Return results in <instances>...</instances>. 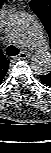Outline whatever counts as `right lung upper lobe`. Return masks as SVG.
Segmentation results:
<instances>
[{
	"label": "right lung upper lobe",
	"mask_w": 51,
	"mask_h": 153,
	"mask_svg": "<svg viewBox=\"0 0 51 153\" xmlns=\"http://www.w3.org/2000/svg\"><path fill=\"white\" fill-rule=\"evenodd\" d=\"M3 3L4 0H0V8L2 7ZM8 66H9V61L0 50V83L8 71Z\"/></svg>",
	"instance_id": "1"
}]
</instances>
